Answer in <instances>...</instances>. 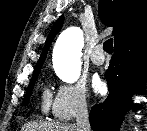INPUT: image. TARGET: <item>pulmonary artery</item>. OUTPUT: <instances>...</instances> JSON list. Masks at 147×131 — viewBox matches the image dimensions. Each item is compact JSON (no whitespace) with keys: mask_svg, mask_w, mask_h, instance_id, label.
Here are the masks:
<instances>
[{"mask_svg":"<svg viewBox=\"0 0 147 131\" xmlns=\"http://www.w3.org/2000/svg\"><path fill=\"white\" fill-rule=\"evenodd\" d=\"M91 61L95 65H102L105 61V56L103 54V47L102 45H97L94 47L91 53Z\"/></svg>","mask_w":147,"mask_h":131,"instance_id":"pulmonary-artery-1","label":"pulmonary artery"}]
</instances>
